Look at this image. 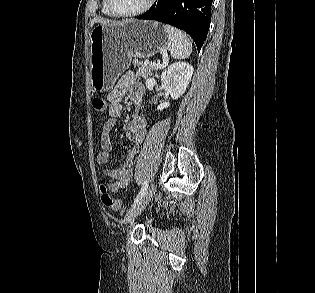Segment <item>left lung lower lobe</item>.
<instances>
[{"label":"left lung lower lobe","instance_id":"1","mask_svg":"<svg viewBox=\"0 0 315 293\" xmlns=\"http://www.w3.org/2000/svg\"><path fill=\"white\" fill-rule=\"evenodd\" d=\"M213 0H156L155 4L137 19L157 20L187 32L200 50L210 23Z\"/></svg>","mask_w":315,"mask_h":293}]
</instances>
